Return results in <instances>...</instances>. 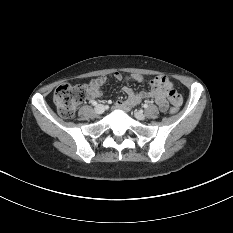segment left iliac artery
<instances>
[{
    "mask_svg": "<svg viewBox=\"0 0 233 233\" xmlns=\"http://www.w3.org/2000/svg\"><path fill=\"white\" fill-rule=\"evenodd\" d=\"M143 107H144V108H147V107H148V105H147V104H143Z\"/></svg>",
    "mask_w": 233,
    "mask_h": 233,
    "instance_id": "44dca946",
    "label": "left iliac artery"
}]
</instances>
